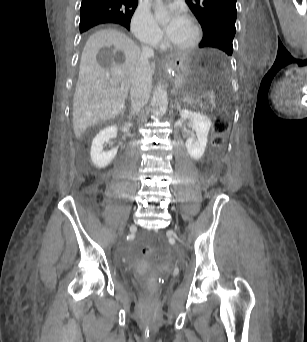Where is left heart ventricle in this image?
Instances as JSON below:
<instances>
[{
	"mask_svg": "<svg viewBox=\"0 0 307 342\" xmlns=\"http://www.w3.org/2000/svg\"><path fill=\"white\" fill-rule=\"evenodd\" d=\"M191 38H192V32L190 30V27L187 25L184 32L175 41L170 43L169 46L172 49L183 48L190 42Z\"/></svg>",
	"mask_w": 307,
	"mask_h": 342,
	"instance_id": "b2bd125f",
	"label": "left heart ventricle"
}]
</instances>
